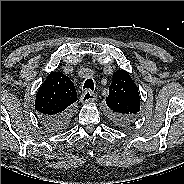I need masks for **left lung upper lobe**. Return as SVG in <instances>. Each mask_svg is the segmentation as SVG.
<instances>
[{
  "mask_svg": "<svg viewBox=\"0 0 184 184\" xmlns=\"http://www.w3.org/2000/svg\"><path fill=\"white\" fill-rule=\"evenodd\" d=\"M106 104L118 123L130 122L138 118L140 96L138 88L125 70L113 73Z\"/></svg>",
  "mask_w": 184,
  "mask_h": 184,
  "instance_id": "1",
  "label": "left lung upper lobe"
}]
</instances>
